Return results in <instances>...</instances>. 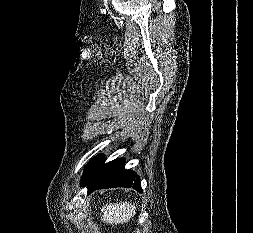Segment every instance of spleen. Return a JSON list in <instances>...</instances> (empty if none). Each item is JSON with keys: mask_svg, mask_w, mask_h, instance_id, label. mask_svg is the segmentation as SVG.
Returning <instances> with one entry per match:
<instances>
[{"mask_svg": "<svg viewBox=\"0 0 253 233\" xmlns=\"http://www.w3.org/2000/svg\"><path fill=\"white\" fill-rule=\"evenodd\" d=\"M101 220L108 224H123L130 221L136 214V206L130 202L105 204L102 209Z\"/></svg>", "mask_w": 253, "mask_h": 233, "instance_id": "1", "label": "spleen"}]
</instances>
